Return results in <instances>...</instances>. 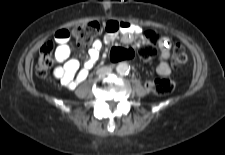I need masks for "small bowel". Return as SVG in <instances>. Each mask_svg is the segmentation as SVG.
I'll list each match as a JSON object with an SVG mask.
<instances>
[{
  "label": "small bowel",
  "instance_id": "small-bowel-1",
  "mask_svg": "<svg viewBox=\"0 0 225 155\" xmlns=\"http://www.w3.org/2000/svg\"><path fill=\"white\" fill-rule=\"evenodd\" d=\"M107 32L104 41L111 42L121 37L123 42L131 43L133 38L141 33V28L137 25L126 21L110 20L105 23ZM54 41L58 44L55 52L56 60L62 63L61 66L54 70V76L61 84L71 89L75 88L79 83L84 81L99 58L103 41L96 39L89 50V58L85 62L83 68H80L76 59L70 58L69 43L72 41V32L65 27L58 28L53 35ZM171 40L168 37H161L158 41L160 61L156 67V71L161 76H168L171 73V65L169 63L171 53Z\"/></svg>",
  "mask_w": 225,
  "mask_h": 155
}]
</instances>
